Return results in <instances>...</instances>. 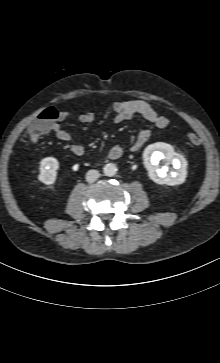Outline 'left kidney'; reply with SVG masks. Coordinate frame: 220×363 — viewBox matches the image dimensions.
Wrapping results in <instances>:
<instances>
[{
	"label": "left kidney",
	"instance_id": "1",
	"mask_svg": "<svg viewBox=\"0 0 220 363\" xmlns=\"http://www.w3.org/2000/svg\"><path fill=\"white\" fill-rule=\"evenodd\" d=\"M162 159L171 163L175 171L168 173V167L160 168L158 164ZM143 160L150 179L157 184L174 186L180 185L186 180L187 161L177 154L170 144L157 142L148 145L143 152Z\"/></svg>",
	"mask_w": 220,
	"mask_h": 363
}]
</instances>
